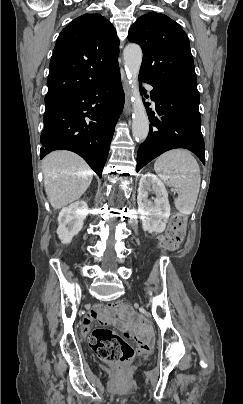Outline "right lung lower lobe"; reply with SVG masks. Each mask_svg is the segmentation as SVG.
Wrapping results in <instances>:
<instances>
[{"mask_svg": "<svg viewBox=\"0 0 243 404\" xmlns=\"http://www.w3.org/2000/svg\"><path fill=\"white\" fill-rule=\"evenodd\" d=\"M123 105L120 72L82 91L45 101L40 158L54 150H70L101 177Z\"/></svg>", "mask_w": 243, "mask_h": 404, "instance_id": "98d812e1", "label": "right lung lower lobe"}]
</instances>
